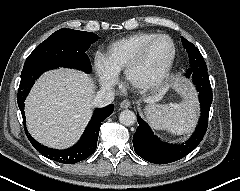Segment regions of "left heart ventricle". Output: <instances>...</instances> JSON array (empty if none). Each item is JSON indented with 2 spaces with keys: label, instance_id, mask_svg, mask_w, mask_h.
<instances>
[{
  "label": "left heart ventricle",
  "instance_id": "left-heart-ventricle-1",
  "mask_svg": "<svg viewBox=\"0 0 240 191\" xmlns=\"http://www.w3.org/2000/svg\"><path fill=\"white\" fill-rule=\"evenodd\" d=\"M172 54L171 43L166 39L157 41L150 49L143 65L135 74V79L148 82L157 78L165 69Z\"/></svg>",
  "mask_w": 240,
  "mask_h": 191
}]
</instances>
